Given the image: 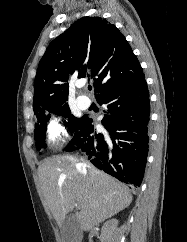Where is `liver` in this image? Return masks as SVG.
<instances>
[{"label":"liver","instance_id":"obj_1","mask_svg":"<svg viewBox=\"0 0 187 242\" xmlns=\"http://www.w3.org/2000/svg\"><path fill=\"white\" fill-rule=\"evenodd\" d=\"M45 200L61 228L65 217L79 204L75 218L84 231L112 217L132 202L128 187L89 161L72 155L45 159L38 167Z\"/></svg>","mask_w":187,"mask_h":242}]
</instances>
